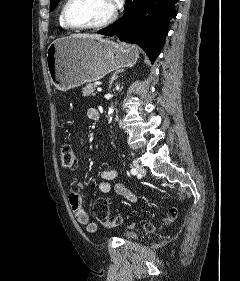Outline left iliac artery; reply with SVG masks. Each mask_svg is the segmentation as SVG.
<instances>
[{"label": "left iliac artery", "instance_id": "obj_1", "mask_svg": "<svg viewBox=\"0 0 240 281\" xmlns=\"http://www.w3.org/2000/svg\"><path fill=\"white\" fill-rule=\"evenodd\" d=\"M137 172H138V171L136 170V168H132V169H131V174L136 175Z\"/></svg>", "mask_w": 240, "mask_h": 281}]
</instances>
